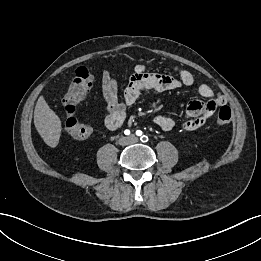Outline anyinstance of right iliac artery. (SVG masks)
<instances>
[{
    "mask_svg": "<svg viewBox=\"0 0 261 261\" xmlns=\"http://www.w3.org/2000/svg\"><path fill=\"white\" fill-rule=\"evenodd\" d=\"M124 134H125V135H130V131H129V130H125V131H124Z\"/></svg>",
    "mask_w": 261,
    "mask_h": 261,
    "instance_id": "right-iliac-artery-1",
    "label": "right iliac artery"
}]
</instances>
